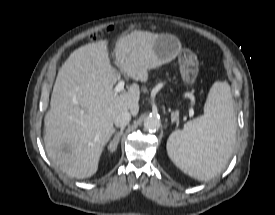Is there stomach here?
I'll return each instance as SVG.
<instances>
[{
  "label": "stomach",
  "instance_id": "stomach-1",
  "mask_svg": "<svg viewBox=\"0 0 275 215\" xmlns=\"http://www.w3.org/2000/svg\"><path fill=\"white\" fill-rule=\"evenodd\" d=\"M154 51L160 59L179 58L181 77L186 85L192 86L199 72L197 56L190 50L181 48L179 40L171 34H160L154 42Z\"/></svg>",
  "mask_w": 275,
  "mask_h": 215
}]
</instances>
